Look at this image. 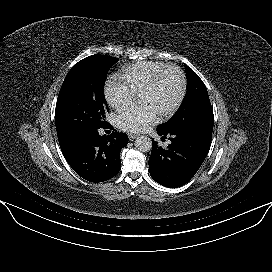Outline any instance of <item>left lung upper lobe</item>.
I'll return each instance as SVG.
<instances>
[{"mask_svg": "<svg viewBox=\"0 0 272 272\" xmlns=\"http://www.w3.org/2000/svg\"><path fill=\"white\" fill-rule=\"evenodd\" d=\"M187 93L177 113L159 125L165 133L196 132L212 134L214 116L203 81L187 65Z\"/></svg>", "mask_w": 272, "mask_h": 272, "instance_id": "5c2ea615", "label": "left lung upper lobe"}]
</instances>
